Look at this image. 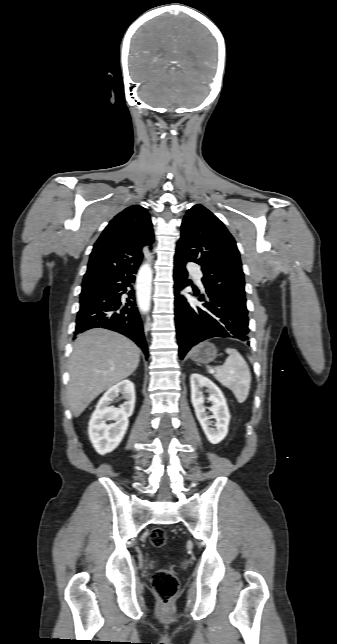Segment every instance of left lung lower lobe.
Here are the masks:
<instances>
[{"label": "left lung lower lobe", "mask_w": 337, "mask_h": 644, "mask_svg": "<svg viewBox=\"0 0 337 644\" xmlns=\"http://www.w3.org/2000/svg\"><path fill=\"white\" fill-rule=\"evenodd\" d=\"M185 264L175 258V322L180 359L191 347L212 337H230L249 344L248 313L227 297L206 286L203 293L195 292L201 302L198 304L179 294L188 286Z\"/></svg>", "instance_id": "obj_1"}]
</instances>
